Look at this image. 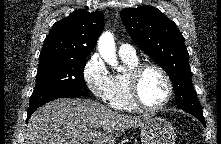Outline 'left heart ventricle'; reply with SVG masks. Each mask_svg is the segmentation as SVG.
<instances>
[{
    "label": "left heart ventricle",
    "instance_id": "obj_1",
    "mask_svg": "<svg viewBox=\"0 0 221 144\" xmlns=\"http://www.w3.org/2000/svg\"><path fill=\"white\" fill-rule=\"evenodd\" d=\"M139 92L143 102L149 106L162 103L167 94L163 76L155 69L146 70L139 82Z\"/></svg>",
    "mask_w": 221,
    "mask_h": 144
}]
</instances>
